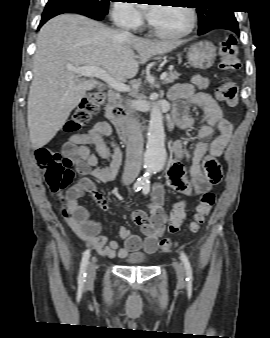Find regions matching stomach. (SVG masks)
<instances>
[{
    "label": "stomach",
    "instance_id": "obj_1",
    "mask_svg": "<svg viewBox=\"0 0 270 338\" xmlns=\"http://www.w3.org/2000/svg\"><path fill=\"white\" fill-rule=\"evenodd\" d=\"M215 58V47L207 41L194 43L187 54L189 65L201 70L209 69L214 64Z\"/></svg>",
    "mask_w": 270,
    "mask_h": 338
}]
</instances>
